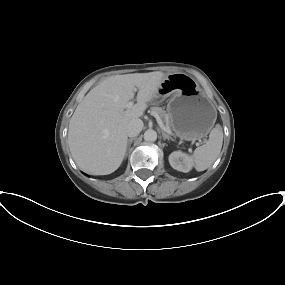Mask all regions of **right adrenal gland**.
<instances>
[{
    "instance_id": "obj_1",
    "label": "right adrenal gland",
    "mask_w": 285,
    "mask_h": 285,
    "mask_svg": "<svg viewBox=\"0 0 285 285\" xmlns=\"http://www.w3.org/2000/svg\"><path fill=\"white\" fill-rule=\"evenodd\" d=\"M133 140H135V138H130V139L128 140V142H127V149L130 148V146H131Z\"/></svg>"
}]
</instances>
